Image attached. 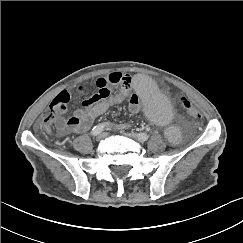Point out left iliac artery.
Listing matches in <instances>:
<instances>
[{
	"label": "left iliac artery",
	"mask_w": 243,
	"mask_h": 243,
	"mask_svg": "<svg viewBox=\"0 0 243 243\" xmlns=\"http://www.w3.org/2000/svg\"><path fill=\"white\" fill-rule=\"evenodd\" d=\"M149 138V135L147 133H139L138 134V140L141 142L147 141Z\"/></svg>",
	"instance_id": "44dca946"
}]
</instances>
